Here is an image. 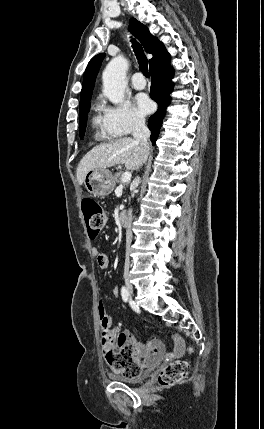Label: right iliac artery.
Masks as SVG:
<instances>
[{
	"label": "right iliac artery",
	"instance_id": "1",
	"mask_svg": "<svg viewBox=\"0 0 264 429\" xmlns=\"http://www.w3.org/2000/svg\"><path fill=\"white\" fill-rule=\"evenodd\" d=\"M121 296L124 302H127L129 299V293L127 291V289L123 286L121 289Z\"/></svg>",
	"mask_w": 264,
	"mask_h": 429
}]
</instances>
